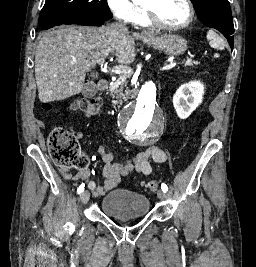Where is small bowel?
Here are the masks:
<instances>
[{"label":"small bowel","instance_id":"obj_1","mask_svg":"<svg viewBox=\"0 0 256 267\" xmlns=\"http://www.w3.org/2000/svg\"><path fill=\"white\" fill-rule=\"evenodd\" d=\"M77 141H82V136L76 137ZM98 155L104 162L103 177L104 183L99 185L90 179V172L87 169L79 170L72 174L68 168L59 167V172L66 180L81 181L86 183L95 196H102L114 189L124 178L133 173L149 175L152 172V163H164L167 160L166 153L157 145L149 146L137 152L131 159L125 162L115 161L114 154L104 146L97 149Z\"/></svg>","mask_w":256,"mask_h":267}]
</instances>
